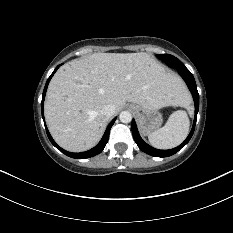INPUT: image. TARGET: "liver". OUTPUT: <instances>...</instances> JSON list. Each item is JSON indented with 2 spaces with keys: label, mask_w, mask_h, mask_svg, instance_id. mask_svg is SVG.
<instances>
[{
  "label": "liver",
  "mask_w": 233,
  "mask_h": 233,
  "mask_svg": "<svg viewBox=\"0 0 233 233\" xmlns=\"http://www.w3.org/2000/svg\"><path fill=\"white\" fill-rule=\"evenodd\" d=\"M126 102L160 109L187 106L190 98L183 81L147 53H94L56 72L44 114L54 140L68 151L82 152L103 135L109 118L102 108L112 104L117 113Z\"/></svg>",
  "instance_id": "obj_1"
}]
</instances>
